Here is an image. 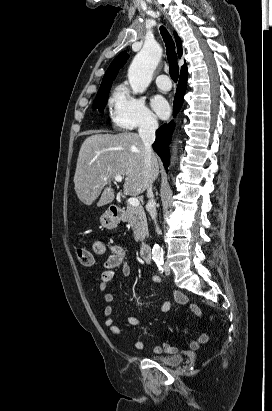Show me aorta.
<instances>
[{
    "mask_svg": "<svg viewBox=\"0 0 272 411\" xmlns=\"http://www.w3.org/2000/svg\"><path fill=\"white\" fill-rule=\"evenodd\" d=\"M161 55V47L155 44L144 46L134 57L128 69V80L134 93H143L149 86ZM152 259L163 260V250L158 244L152 248Z\"/></svg>",
    "mask_w": 272,
    "mask_h": 411,
    "instance_id": "1",
    "label": "aorta"
}]
</instances>
